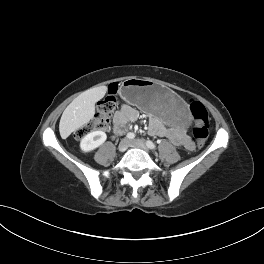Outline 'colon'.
I'll list each match as a JSON object with an SVG mask.
<instances>
[{
	"label": "colon",
	"mask_w": 264,
	"mask_h": 264,
	"mask_svg": "<svg viewBox=\"0 0 264 264\" xmlns=\"http://www.w3.org/2000/svg\"><path fill=\"white\" fill-rule=\"evenodd\" d=\"M117 92L116 84H112L108 88V95L98 103L96 114L91 121L81 127L75 134L77 138H81L87 133L94 130H101L108 126L110 118L116 109ZM190 112L194 121L193 138L200 147L204 144L209 135V119L205 106L199 101H193L190 104Z\"/></svg>",
	"instance_id": "colon-1"
}]
</instances>
